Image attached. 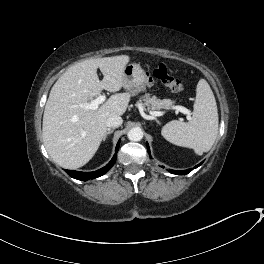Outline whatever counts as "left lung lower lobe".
<instances>
[{"instance_id":"0a47b994","label":"left lung lower lobe","mask_w":264,"mask_h":264,"mask_svg":"<svg viewBox=\"0 0 264 264\" xmlns=\"http://www.w3.org/2000/svg\"><path fill=\"white\" fill-rule=\"evenodd\" d=\"M147 151L150 154V149H149V145L147 143ZM202 164V162L200 164H198L197 166H195L194 168L199 167ZM172 174H177V175H185L188 174L189 172L192 171V169H187V170H169Z\"/></svg>"}]
</instances>
